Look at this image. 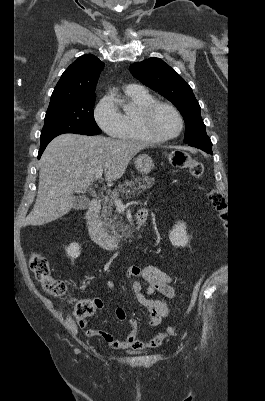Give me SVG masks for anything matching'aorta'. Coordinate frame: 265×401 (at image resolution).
Returning a JSON list of instances; mask_svg holds the SVG:
<instances>
[{"label":"aorta","mask_w":265,"mask_h":401,"mask_svg":"<svg viewBox=\"0 0 265 401\" xmlns=\"http://www.w3.org/2000/svg\"><path fill=\"white\" fill-rule=\"evenodd\" d=\"M110 92H114V88H111ZM119 102H121V100H119Z\"/></svg>","instance_id":"aorta-1"}]
</instances>
